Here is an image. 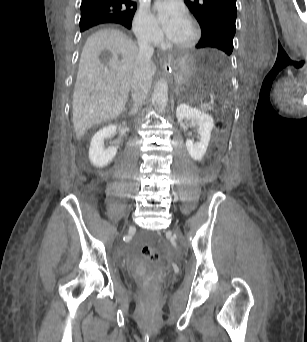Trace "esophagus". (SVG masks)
Returning a JSON list of instances; mask_svg holds the SVG:
<instances>
[{"label":"esophagus","mask_w":307,"mask_h":342,"mask_svg":"<svg viewBox=\"0 0 307 342\" xmlns=\"http://www.w3.org/2000/svg\"><path fill=\"white\" fill-rule=\"evenodd\" d=\"M165 60H166V61H170V60H171V58H170V57H167Z\"/></svg>","instance_id":"34e87169"}]
</instances>
